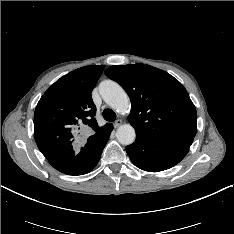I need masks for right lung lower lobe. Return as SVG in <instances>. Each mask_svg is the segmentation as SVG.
<instances>
[{
	"instance_id": "98d812e1",
	"label": "right lung lower lobe",
	"mask_w": 234,
	"mask_h": 234,
	"mask_svg": "<svg viewBox=\"0 0 234 234\" xmlns=\"http://www.w3.org/2000/svg\"><path fill=\"white\" fill-rule=\"evenodd\" d=\"M113 129L112 124L98 131L74 157L65 160H48L58 171L68 175H83L90 172L97 165L102 151Z\"/></svg>"
}]
</instances>
